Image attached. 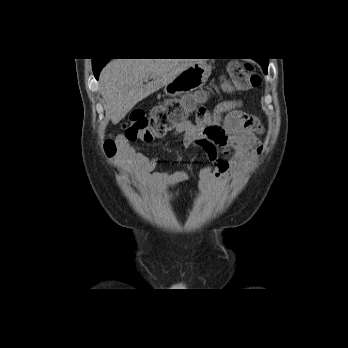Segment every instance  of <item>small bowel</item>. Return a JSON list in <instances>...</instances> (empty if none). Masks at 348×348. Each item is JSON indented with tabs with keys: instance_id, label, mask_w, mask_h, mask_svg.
Instances as JSON below:
<instances>
[{
	"instance_id": "1",
	"label": "small bowel",
	"mask_w": 348,
	"mask_h": 348,
	"mask_svg": "<svg viewBox=\"0 0 348 348\" xmlns=\"http://www.w3.org/2000/svg\"><path fill=\"white\" fill-rule=\"evenodd\" d=\"M242 102H220L210 113L198 110L196 122L186 121L174 134L185 148L197 146L208 156L209 163L199 172V189L210 192L222 189L227 180L239 179L253 163L261 149L259 120L241 110ZM116 161L142 188L155 186L166 193L188 178L185 170H156L159 160L148 157L145 150L132 146L124 136L118 138Z\"/></svg>"
}]
</instances>
